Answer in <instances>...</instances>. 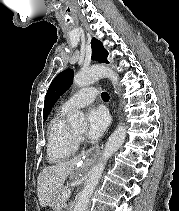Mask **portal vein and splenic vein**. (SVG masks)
<instances>
[{"label": "portal vein and splenic vein", "instance_id": "obj_1", "mask_svg": "<svg viewBox=\"0 0 179 211\" xmlns=\"http://www.w3.org/2000/svg\"><path fill=\"white\" fill-rule=\"evenodd\" d=\"M71 195V192L70 191H65V192H63V196H65V197H68V196H70Z\"/></svg>", "mask_w": 179, "mask_h": 211}]
</instances>
